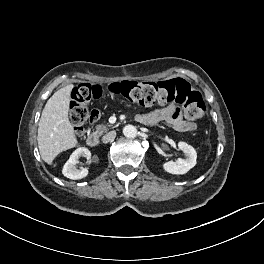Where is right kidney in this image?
Wrapping results in <instances>:
<instances>
[{"label":"right kidney","mask_w":264,"mask_h":264,"mask_svg":"<svg viewBox=\"0 0 264 264\" xmlns=\"http://www.w3.org/2000/svg\"><path fill=\"white\" fill-rule=\"evenodd\" d=\"M81 156H86L89 160L91 157V152L85 147L77 148L69 157L68 161L65 163L62 173L65 177L73 180L85 178L88 175V169L82 168L77 169L76 164ZM90 162V161H89Z\"/></svg>","instance_id":"obj_1"}]
</instances>
